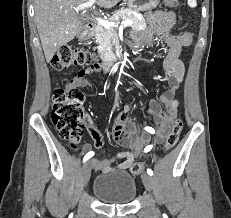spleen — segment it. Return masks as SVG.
Returning a JSON list of instances; mask_svg holds the SVG:
<instances>
[{
    "label": "spleen",
    "mask_w": 231,
    "mask_h": 218,
    "mask_svg": "<svg viewBox=\"0 0 231 218\" xmlns=\"http://www.w3.org/2000/svg\"><path fill=\"white\" fill-rule=\"evenodd\" d=\"M188 5L192 8L197 6V1L196 0H188Z\"/></svg>",
    "instance_id": "spleen-1"
}]
</instances>
